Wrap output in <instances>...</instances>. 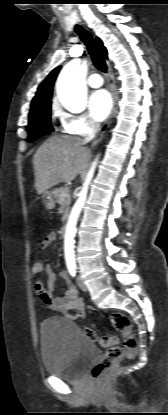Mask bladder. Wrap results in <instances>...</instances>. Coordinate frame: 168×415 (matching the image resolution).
<instances>
[{
  "mask_svg": "<svg viewBox=\"0 0 168 415\" xmlns=\"http://www.w3.org/2000/svg\"><path fill=\"white\" fill-rule=\"evenodd\" d=\"M41 353L46 372L65 380L80 378L97 358L98 349L79 326L64 317H49L40 326Z\"/></svg>",
  "mask_w": 168,
  "mask_h": 415,
  "instance_id": "1",
  "label": "bladder"
}]
</instances>
